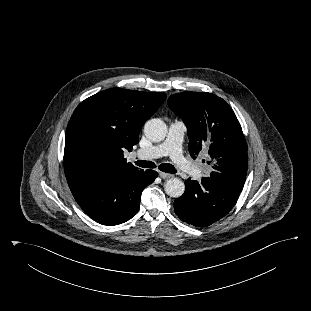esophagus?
<instances>
[{
  "mask_svg": "<svg viewBox=\"0 0 311 311\" xmlns=\"http://www.w3.org/2000/svg\"><path fill=\"white\" fill-rule=\"evenodd\" d=\"M159 176L163 179H169L171 178L173 175L172 174H169V173H165V172H162V171H159Z\"/></svg>",
  "mask_w": 311,
  "mask_h": 311,
  "instance_id": "obj_1",
  "label": "esophagus"
}]
</instances>
